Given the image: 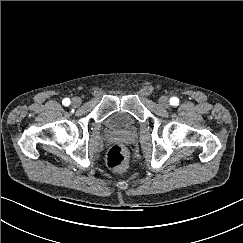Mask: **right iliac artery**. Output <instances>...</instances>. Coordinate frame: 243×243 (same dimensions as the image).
I'll list each match as a JSON object with an SVG mask.
<instances>
[{
    "mask_svg": "<svg viewBox=\"0 0 243 243\" xmlns=\"http://www.w3.org/2000/svg\"><path fill=\"white\" fill-rule=\"evenodd\" d=\"M63 105L65 106H68L70 104V100L68 98H65L63 101H62Z\"/></svg>",
    "mask_w": 243,
    "mask_h": 243,
    "instance_id": "obj_1",
    "label": "right iliac artery"
}]
</instances>
